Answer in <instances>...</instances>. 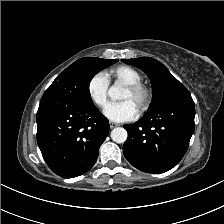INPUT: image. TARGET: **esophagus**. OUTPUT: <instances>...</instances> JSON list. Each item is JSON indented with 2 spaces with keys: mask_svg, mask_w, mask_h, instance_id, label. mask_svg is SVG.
<instances>
[{
  "mask_svg": "<svg viewBox=\"0 0 224 224\" xmlns=\"http://www.w3.org/2000/svg\"><path fill=\"white\" fill-rule=\"evenodd\" d=\"M109 126H110V129H113V128L119 126V124L110 122V123H109Z\"/></svg>",
  "mask_w": 224,
  "mask_h": 224,
  "instance_id": "obj_1",
  "label": "esophagus"
}]
</instances>
